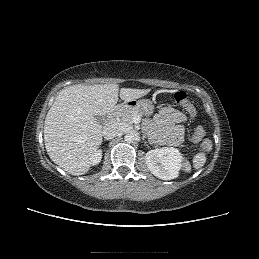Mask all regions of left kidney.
I'll use <instances>...</instances> for the list:
<instances>
[{
	"mask_svg": "<svg viewBox=\"0 0 259 259\" xmlns=\"http://www.w3.org/2000/svg\"><path fill=\"white\" fill-rule=\"evenodd\" d=\"M145 161L154 176L162 180H171L178 176L183 156L176 148L163 147L148 151Z\"/></svg>",
	"mask_w": 259,
	"mask_h": 259,
	"instance_id": "1",
	"label": "left kidney"
}]
</instances>
